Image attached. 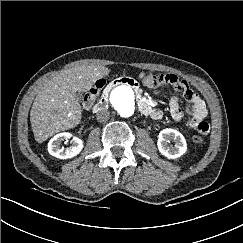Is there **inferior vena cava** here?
I'll use <instances>...</instances> for the list:
<instances>
[{
	"instance_id": "1",
	"label": "inferior vena cava",
	"mask_w": 243,
	"mask_h": 243,
	"mask_svg": "<svg viewBox=\"0 0 243 243\" xmlns=\"http://www.w3.org/2000/svg\"><path fill=\"white\" fill-rule=\"evenodd\" d=\"M110 113L106 109H102L96 114V118L99 122H104L109 119Z\"/></svg>"
}]
</instances>
